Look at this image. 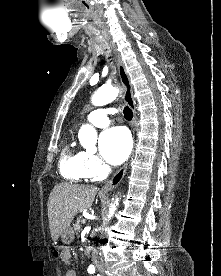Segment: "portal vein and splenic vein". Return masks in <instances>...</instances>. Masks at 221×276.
I'll return each instance as SVG.
<instances>
[{
  "label": "portal vein and splenic vein",
  "instance_id": "obj_1",
  "mask_svg": "<svg viewBox=\"0 0 221 276\" xmlns=\"http://www.w3.org/2000/svg\"><path fill=\"white\" fill-rule=\"evenodd\" d=\"M86 222V220L85 219H82V223H85Z\"/></svg>",
  "mask_w": 221,
  "mask_h": 276
}]
</instances>
